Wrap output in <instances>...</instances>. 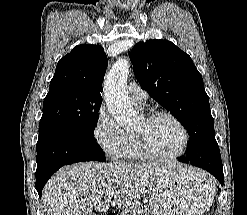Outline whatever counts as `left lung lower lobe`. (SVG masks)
I'll use <instances>...</instances> for the list:
<instances>
[{"label": "left lung lower lobe", "mask_w": 247, "mask_h": 215, "mask_svg": "<svg viewBox=\"0 0 247 215\" xmlns=\"http://www.w3.org/2000/svg\"><path fill=\"white\" fill-rule=\"evenodd\" d=\"M178 161L189 163L208 171L223 185V165L216 140L202 141L193 147L192 154L178 158Z\"/></svg>", "instance_id": "left-lung-lower-lobe-1"}]
</instances>
